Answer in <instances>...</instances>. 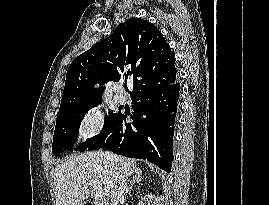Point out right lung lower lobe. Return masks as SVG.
<instances>
[{"label": "right lung lower lobe", "mask_w": 269, "mask_h": 205, "mask_svg": "<svg viewBox=\"0 0 269 205\" xmlns=\"http://www.w3.org/2000/svg\"><path fill=\"white\" fill-rule=\"evenodd\" d=\"M179 92L180 83L175 82L132 95L133 122L126 123V115L120 113L88 150L105 148L126 157L147 159L170 172Z\"/></svg>", "instance_id": "right-lung-lower-lobe-1"}]
</instances>
